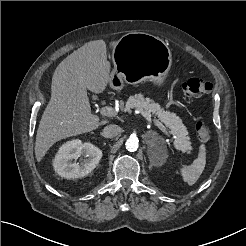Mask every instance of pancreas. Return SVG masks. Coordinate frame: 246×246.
I'll return each instance as SVG.
<instances>
[{
    "mask_svg": "<svg viewBox=\"0 0 246 246\" xmlns=\"http://www.w3.org/2000/svg\"><path fill=\"white\" fill-rule=\"evenodd\" d=\"M131 109L139 110L147 120H150L152 116L157 117L170 128L171 133L176 136L174 143L177 149L187 151L191 148L187 128L175 113L165 110L153 99L145 98L143 94H136L128 98L125 111L131 112Z\"/></svg>",
    "mask_w": 246,
    "mask_h": 246,
    "instance_id": "obj_1",
    "label": "pancreas"
}]
</instances>
